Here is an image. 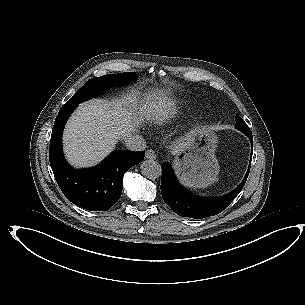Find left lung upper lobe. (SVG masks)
<instances>
[{
  "label": "left lung upper lobe",
  "instance_id": "1",
  "mask_svg": "<svg viewBox=\"0 0 305 305\" xmlns=\"http://www.w3.org/2000/svg\"><path fill=\"white\" fill-rule=\"evenodd\" d=\"M235 128H237L238 130L243 132L245 135H247L250 140H253L250 128L247 126V124L237 114H236V125H235ZM244 182H245V180L236 189L242 187ZM232 197H233V191L231 193L223 196V197L211 198V200H212L213 204L222 205V204L228 203V201L231 200Z\"/></svg>",
  "mask_w": 305,
  "mask_h": 305
}]
</instances>
